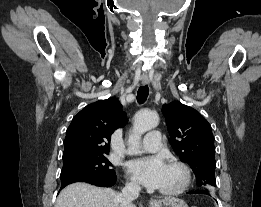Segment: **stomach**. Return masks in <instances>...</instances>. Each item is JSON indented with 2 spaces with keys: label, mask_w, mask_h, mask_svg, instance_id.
I'll use <instances>...</instances> for the list:
<instances>
[{
  "label": "stomach",
  "mask_w": 261,
  "mask_h": 207,
  "mask_svg": "<svg viewBox=\"0 0 261 207\" xmlns=\"http://www.w3.org/2000/svg\"><path fill=\"white\" fill-rule=\"evenodd\" d=\"M150 207H188L181 199L175 197H166L160 200H155L150 204Z\"/></svg>",
  "instance_id": "1"
}]
</instances>
